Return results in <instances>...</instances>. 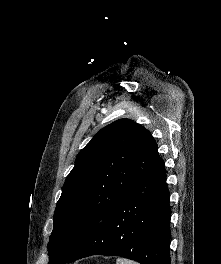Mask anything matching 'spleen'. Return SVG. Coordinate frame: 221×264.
I'll list each match as a JSON object with an SVG mask.
<instances>
[{
    "label": "spleen",
    "mask_w": 221,
    "mask_h": 264,
    "mask_svg": "<svg viewBox=\"0 0 221 264\" xmlns=\"http://www.w3.org/2000/svg\"><path fill=\"white\" fill-rule=\"evenodd\" d=\"M116 264H139V263H136L134 261H131V260H128V259H125V258H118L116 260Z\"/></svg>",
    "instance_id": "spleen-1"
}]
</instances>
